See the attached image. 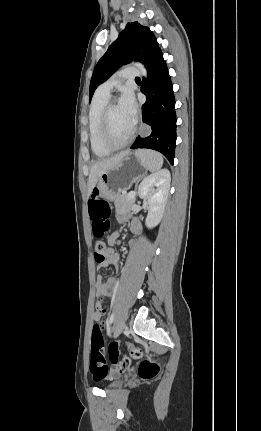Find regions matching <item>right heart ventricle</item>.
Listing matches in <instances>:
<instances>
[{"label":"right heart ventricle","mask_w":261,"mask_h":431,"mask_svg":"<svg viewBox=\"0 0 261 431\" xmlns=\"http://www.w3.org/2000/svg\"><path fill=\"white\" fill-rule=\"evenodd\" d=\"M109 101V96L96 92L89 110V141L92 153L99 158L108 156L112 150L106 148L100 137L101 114Z\"/></svg>","instance_id":"obj_1"}]
</instances>
